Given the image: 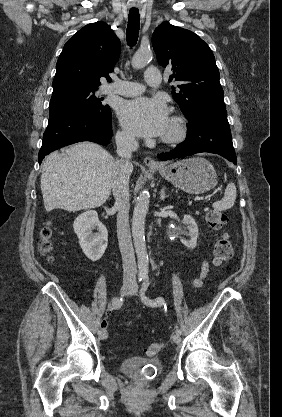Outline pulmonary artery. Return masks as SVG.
Wrapping results in <instances>:
<instances>
[{"label": "pulmonary artery", "mask_w": 282, "mask_h": 417, "mask_svg": "<svg viewBox=\"0 0 282 417\" xmlns=\"http://www.w3.org/2000/svg\"><path fill=\"white\" fill-rule=\"evenodd\" d=\"M144 80L145 83L153 86L160 83L161 77L156 65H151L149 69L144 72ZM143 90L144 86L141 83L122 81L118 79L107 88V92L116 93L126 97L139 95L143 92Z\"/></svg>", "instance_id": "e3ab8cb5"}]
</instances>
